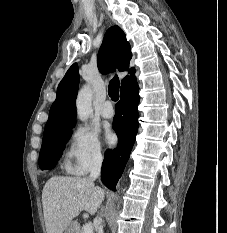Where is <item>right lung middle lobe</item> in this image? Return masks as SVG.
Listing matches in <instances>:
<instances>
[{"mask_svg":"<svg viewBox=\"0 0 227 233\" xmlns=\"http://www.w3.org/2000/svg\"><path fill=\"white\" fill-rule=\"evenodd\" d=\"M71 130L54 138L43 140L39 155V166L42 170L53 169L62 155L65 144L71 136Z\"/></svg>","mask_w":227,"mask_h":233,"instance_id":"dd1d6c3e","label":"right lung middle lobe"}]
</instances>
